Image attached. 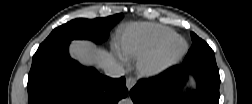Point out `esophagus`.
I'll return each mask as SVG.
<instances>
[{
	"label": "esophagus",
	"mask_w": 252,
	"mask_h": 104,
	"mask_svg": "<svg viewBox=\"0 0 252 104\" xmlns=\"http://www.w3.org/2000/svg\"><path fill=\"white\" fill-rule=\"evenodd\" d=\"M136 84V79L134 77H129L126 80V87L128 90L132 89Z\"/></svg>",
	"instance_id": "obj_1"
}]
</instances>
